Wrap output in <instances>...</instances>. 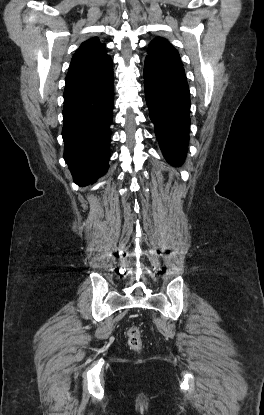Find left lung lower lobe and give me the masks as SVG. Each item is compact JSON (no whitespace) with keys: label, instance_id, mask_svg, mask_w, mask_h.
Wrapping results in <instances>:
<instances>
[{"label":"left lung lower lobe","instance_id":"1","mask_svg":"<svg viewBox=\"0 0 264 415\" xmlns=\"http://www.w3.org/2000/svg\"><path fill=\"white\" fill-rule=\"evenodd\" d=\"M144 89L161 150L169 163L180 165L190 127V93L183 66L146 57Z\"/></svg>","mask_w":264,"mask_h":415}]
</instances>
